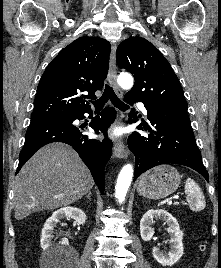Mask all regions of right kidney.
Wrapping results in <instances>:
<instances>
[{
	"label": "right kidney",
	"mask_w": 221,
	"mask_h": 268,
	"mask_svg": "<svg viewBox=\"0 0 221 268\" xmlns=\"http://www.w3.org/2000/svg\"><path fill=\"white\" fill-rule=\"evenodd\" d=\"M62 218H72L79 225H83L86 222V214L79 208L64 207L55 211L52 216L46 220L40 240L42 249L50 254L54 253L58 247V245L52 243V233L56 224ZM59 245H68V240L66 238L62 239Z\"/></svg>",
	"instance_id": "1"
}]
</instances>
